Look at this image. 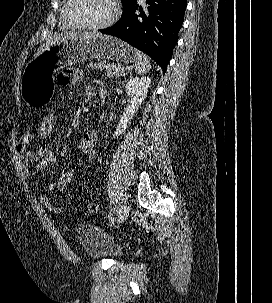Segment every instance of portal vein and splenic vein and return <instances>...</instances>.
<instances>
[{
  "label": "portal vein and splenic vein",
  "instance_id": "obj_1",
  "mask_svg": "<svg viewBox=\"0 0 272 303\" xmlns=\"http://www.w3.org/2000/svg\"><path fill=\"white\" fill-rule=\"evenodd\" d=\"M126 69L124 67L120 68V72H124Z\"/></svg>",
  "mask_w": 272,
  "mask_h": 303
}]
</instances>
